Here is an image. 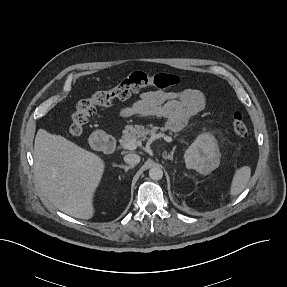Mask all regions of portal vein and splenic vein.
Masks as SVG:
<instances>
[{
  "instance_id": "1",
  "label": "portal vein and splenic vein",
  "mask_w": 287,
  "mask_h": 287,
  "mask_svg": "<svg viewBox=\"0 0 287 287\" xmlns=\"http://www.w3.org/2000/svg\"><path fill=\"white\" fill-rule=\"evenodd\" d=\"M160 137H162L166 142H172V138L167 136V135H160ZM125 149L127 150H134L137 148V142H136V139H132L130 141H128L125 146H124Z\"/></svg>"
}]
</instances>
